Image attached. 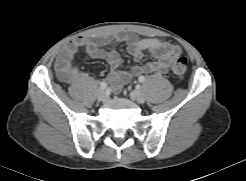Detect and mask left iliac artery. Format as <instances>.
<instances>
[{
	"instance_id": "1",
	"label": "left iliac artery",
	"mask_w": 246,
	"mask_h": 181,
	"mask_svg": "<svg viewBox=\"0 0 246 181\" xmlns=\"http://www.w3.org/2000/svg\"><path fill=\"white\" fill-rule=\"evenodd\" d=\"M138 80L140 83H144L146 81V78L145 76H140Z\"/></svg>"
}]
</instances>
